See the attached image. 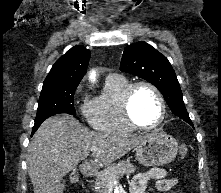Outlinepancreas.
<instances>
[{"mask_svg": "<svg viewBox=\"0 0 221 193\" xmlns=\"http://www.w3.org/2000/svg\"><path fill=\"white\" fill-rule=\"evenodd\" d=\"M135 170L136 167L128 160H121L117 164L108 166L105 170L97 174L95 186L98 193H106L110 184L119 180L124 175L133 173Z\"/></svg>", "mask_w": 221, "mask_h": 193, "instance_id": "cf45deb5", "label": "pancreas"}]
</instances>
